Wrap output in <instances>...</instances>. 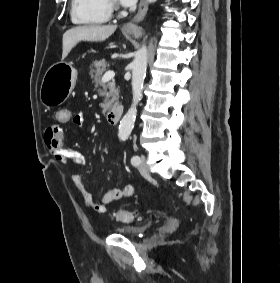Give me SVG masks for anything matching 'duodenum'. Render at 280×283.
I'll list each match as a JSON object with an SVG mask.
<instances>
[{
	"label": "duodenum",
	"mask_w": 280,
	"mask_h": 283,
	"mask_svg": "<svg viewBox=\"0 0 280 283\" xmlns=\"http://www.w3.org/2000/svg\"><path fill=\"white\" fill-rule=\"evenodd\" d=\"M123 113V106L117 105L111 110H109L106 114V120L109 124L115 125L119 122Z\"/></svg>",
	"instance_id": "1"
}]
</instances>
